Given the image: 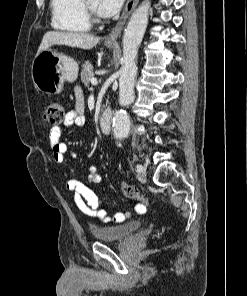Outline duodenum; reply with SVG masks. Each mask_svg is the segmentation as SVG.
Segmentation results:
<instances>
[{
	"mask_svg": "<svg viewBox=\"0 0 247 296\" xmlns=\"http://www.w3.org/2000/svg\"><path fill=\"white\" fill-rule=\"evenodd\" d=\"M99 126L104 135H110L112 132V113L106 108L99 116Z\"/></svg>",
	"mask_w": 247,
	"mask_h": 296,
	"instance_id": "obj_1",
	"label": "duodenum"
}]
</instances>
